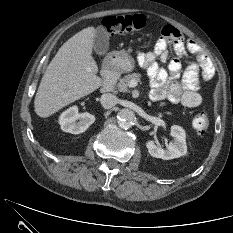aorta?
I'll use <instances>...</instances> for the list:
<instances>
[{
  "instance_id": "aorta-1",
  "label": "aorta",
  "mask_w": 233,
  "mask_h": 233,
  "mask_svg": "<svg viewBox=\"0 0 233 233\" xmlns=\"http://www.w3.org/2000/svg\"><path fill=\"white\" fill-rule=\"evenodd\" d=\"M117 118L118 125L123 129H128L135 120V113L130 109L123 108L118 112Z\"/></svg>"
}]
</instances>
